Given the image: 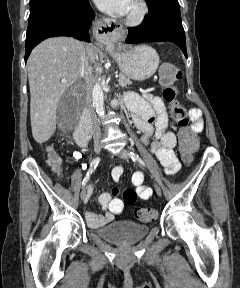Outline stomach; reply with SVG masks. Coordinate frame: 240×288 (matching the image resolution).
Segmentation results:
<instances>
[{
	"mask_svg": "<svg viewBox=\"0 0 240 288\" xmlns=\"http://www.w3.org/2000/svg\"><path fill=\"white\" fill-rule=\"evenodd\" d=\"M121 72L130 79L143 81L150 78L157 70L159 56L155 49L148 45L136 46L128 51L110 49Z\"/></svg>",
	"mask_w": 240,
	"mask_h": 288,
	"instance_id": "obj_1",
	"label": "stomach"
}]
</instances>
